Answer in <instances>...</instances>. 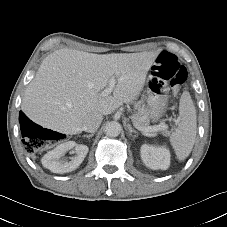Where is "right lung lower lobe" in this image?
<instances>
[{"mask_svg":"<svg viewBox=\"0 0 227 227\" xmlns=\"http://www.w3.org/2000/svg\"><path fill=\"white\" fill-rule=\"evenodd\" d=\"M19 121L21 125V130H24L29 124H34L32 121H30L23 112H20Z\"/></svg>","mask_w":227,"mask_h":227,"instance_id":"1","label":"right lung lower lobe"}]
</instances>
